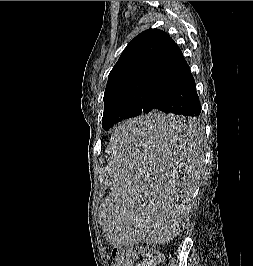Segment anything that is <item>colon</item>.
I'll return each mask as SVG.
<instances>
[{"mask_svg": "<svg viewBox=\"0 0 253 266\" xmlns=\"http://www.w3.org/2000/svg\"><path fill=\"white\" fill-rule=\"evenodd\" d=\"M141 261L138 266H157L163 260L161 254L154 248H140ZM136 256L135 251L125 248H116L112 252L114 266H129Z\"/></svg>", "mask_w": 253, "mask_h": 266, "instance_id": "1", "label": "colon"}]
</instances>
